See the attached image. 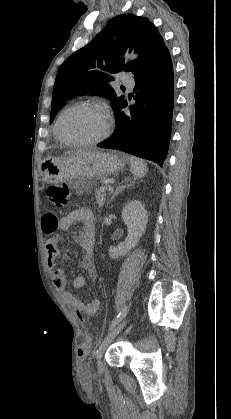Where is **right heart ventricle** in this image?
I'll use <instances>...</instances> for the list:
<instances>
[{
    "label": "right heart ventricle",
    "instance_id": "e07e8e85",
    "mask_svg": "<svg viewBox=\"0 0 231 419\" xmlns=\"http://www.w3.org/2000/svg\"><path fill=\"white\" fill-rule=\"evenodd\" d=\"M68 108V107H67ZM67 108H65L60 114H59V116H58V118H57V120H56V123H55V126H54V135H55V138H56V140L58 141V142H61V143H66L64 140H62V138L59 136V134H58V131H57V121H58V119H59V117H60V115L67 109Z\"/></svg>",
    "mask_w": 231,
    "mask_h": 419
}]
</instances>
